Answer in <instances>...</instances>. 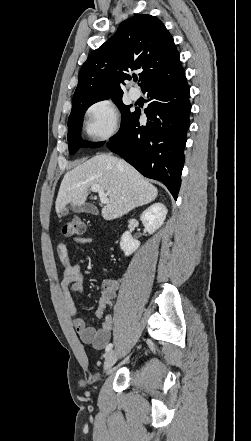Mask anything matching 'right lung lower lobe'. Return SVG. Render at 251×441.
Listing matches in <instances>:
<instances>
[{
	"mask_svg": "<svg viewBox=\"0 0 251 441\" xmlns=\"http://www.w3.org/2000/svg\"><path fill=\"white\" fill-rule=\"evenodd\" d=\"M142 91L149 97L147 124L140 125V111L135 110L107 146L142 175L163 182L176 200L191 111L182 65L153 79Z\"/></svg>",
	"mask_w": 251,
	"mask_h": 441,
	"instance_id": "98d812e1",
	"label": "right lung lower lobe"
}]
</instances>
